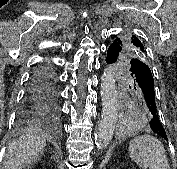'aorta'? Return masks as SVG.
I'll return each instance as SVG.
<instances>
[{"label":"aorta","instance_id":"762f6f07","mask_svg":"<svg viewBox=\"0 0 177 169\" xmlns=\"http://www.w3.org/2000/svg\"><path fill=\"white\" fill-rule=\"evenodd\" d=\"M102 116L95 135V144L99 150L108 146L113 138L118 120V99L113 73L106 69L102 77Z\"/></svg>","mask_w":177,"mask_h":169}]
</instances>
